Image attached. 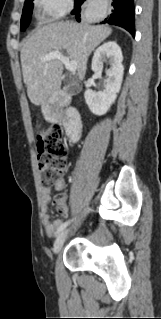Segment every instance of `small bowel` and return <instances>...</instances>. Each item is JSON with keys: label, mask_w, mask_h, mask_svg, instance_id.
<instances>
[{"label": "small bowel", "mask_w": 161, "mask_h": 319, "mask_svg": "<svg viewBox=\"0 0 161 319\" xmlns=\"http://www.w3.org/2000/svg\"><path fill=\"white\" fill-rule=\"evenodd\" d=\"M55 190L60 192L63 191L65 188V180L60 179L55 184ZM42 201H43V209L45 214L43 215V228L47 236L52 237L55 231L62 225L60 220H55L53 222L50 221L49 215L46 213L48 206L52 203V192L50 189H44L42 193Z\"/></svg>", "instance_id": "c3829d8e"}]
</instances>
